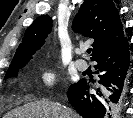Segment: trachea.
<instances>
[{
    "label": "trachea",
    "mask_w": 133,
    "mask_h": 118,
    "mask_svg": "<svg viewBox=\"0 0 133 118\" xmlns=\"http://www.w3.org/2000/svg\"><path fill=\"white\" fill-rule=\"evenodd\" d=\"M87 53L89 54L91 53V48L87 49Z\"/></svg>",
    "instance_id": "trachea-1"
}]
</instances>
